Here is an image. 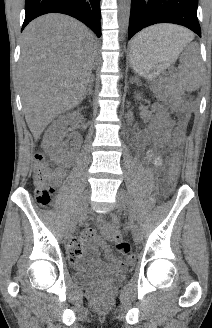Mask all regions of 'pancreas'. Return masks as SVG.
<instances>
[{
	"label": "pancreas",
	"mask_w": 212,
	"mask_h": 328,
	"mask_svg": "<svg viewBox=\"0 0 212 328\" xmlns=\"http://www.w3.org/2000/svg\"><path fill=\"white\" fill-rule=\"evenodd\" d=\"M172 83H173L172 81L169 82V85L167 86V89H169V90L174 89V85Z\"/></svg>",
	"instance_id": "obj_1"
}]
</instances>
